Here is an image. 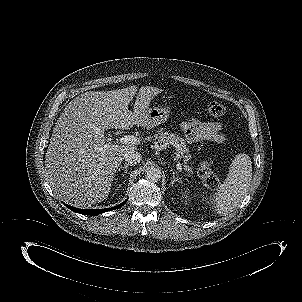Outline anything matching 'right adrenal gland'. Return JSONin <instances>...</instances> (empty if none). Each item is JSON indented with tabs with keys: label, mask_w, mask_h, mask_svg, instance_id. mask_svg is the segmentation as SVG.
I'll use <instances>...</instances> for the list:
<instances>
[{
	"label": "right adrenal gland",
	"mask_w": 302,
	"mask_h": 302,
	"mask_svg": "<svg viewBox=\"0 0 302 302\" xmlns=\"http://www.w3.org/2000/svg\"><path fill=\"white\" fill-rule=\"evenodd\" d=\"M130 165H131V164H129V163H125L124 166H120V167L118 168V171H120L121 169H123V170H124V173L126 174V173H127V169H128V167H129Z\"/></svg>",
	"instance_id": "2a0ac1e0"
}]
</instances>
